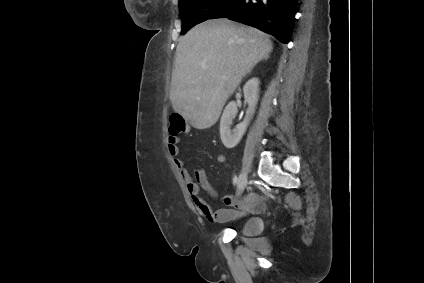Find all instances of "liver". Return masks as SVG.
<instances>
[{
  "mask_svg": "<svg viewBox=\"0 0 424 283\" xmlns=\"http://www.w3.org/2000/svg\"><path fill=\"white\" fill-rule=\"evenodd\" d=\"M272 49L270 37L251 26L228 19L196 25L176 48L170 87L174 111L196 129L213 126L247 71Z\"/></svg>",
  "mask_w": 424,
  "mask_h": 283,
  "instance_id": "6515ba94",
  "label": "liver"
}]
</instances>
